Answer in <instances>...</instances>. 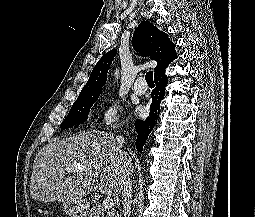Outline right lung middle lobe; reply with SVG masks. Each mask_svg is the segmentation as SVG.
<instances>
[{
  "label": "right lung middle lobe",
  "instance_id": "dd1d6c3e",
  "mask_svg": "<svg viewBox=\"0 0 255 217\" xmlns=\"http://www.w3.org/2000/svg\"><path fill=\"white\" fill-rule=\"evenodd\" d=\"M100 92L80 94L72 105L67 117L61 124V128H70L76 124L85 122L90 108L98 100Z\"/></svg>",
  "mask_w": 255,
  "mask_h": 217
}]
</instances>
